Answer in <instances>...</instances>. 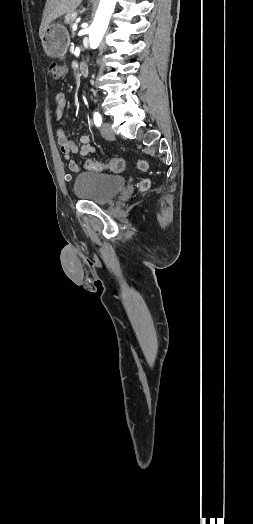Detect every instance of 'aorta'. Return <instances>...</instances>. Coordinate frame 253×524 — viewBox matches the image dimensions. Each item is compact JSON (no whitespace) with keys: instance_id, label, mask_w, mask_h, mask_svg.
<instances>
[{"instance_id":"obj_1","label":"aorta","mask_w":253,"mask_h":524,"mask_svg":"<svg viewBox=\"0 0 253 524\" xmlns=\"http://www.w3.org/2000/svg\"><path fill=\"white\" fill-rule=\"evenodd\" d=\"M117 0H100L94 21L89 28V43L91 48L98 47L101 42Z\"/></svg>"}]
</instances>
